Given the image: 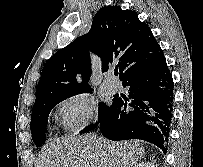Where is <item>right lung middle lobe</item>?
I'll return each mask as SVG.
<instances>
[{
    "label": "right lung middle lobe",
    "mask_w": 203,
    "mask_h": 167,
    "mask_svg": "<svg viewBox=\"0 0 203 167\" xmlns=\"http://www.w3.org/2000/svg\"><path fill=\"white\" fill-rule=\"evenodd\" d=\"M68 97H71V96L52 98V99L44 101L43 103L37 105L36 107H34L32 109L31 133H32V139L37 146L40 147V146H42V144L45 143L46 132H47L46 127H47V122H48L47 118L49 116L51 109L55 105H57L59 102L67 99ZM113 102H114V100H113ZM111 107H112V105L107 106L104 103H99V116H98L99 122L109 112ZM97 126H98V122L95 125L86 127L80 133H84V132L93 130Z\"/></svg>",
    "instance_id": "right-lung-middle-lobe-1"
}]
</instances>
